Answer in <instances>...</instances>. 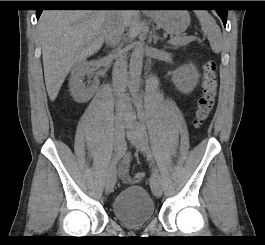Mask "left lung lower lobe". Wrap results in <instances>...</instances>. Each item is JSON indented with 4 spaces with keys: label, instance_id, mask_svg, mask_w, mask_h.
I'll list each match as a JSON object with an SVG mask.
<instances>
[{
    "label": "left lung lower lobe",
    "instance_id": "1",
    "mask_svg": "<svg viewBox=\"0 0 265 245\" xmlns=\"http://www.w3.org/2000/svg\"><path fill=\"white\" fill-rule=\"evenodd\" d=\"M162 5H170V6H177L179 5V1H160L159 2ZM216 12L220 16V18L223 21V24L226 26L227 22V9H217Z\"/></svg>",
    "mask_w": 265,
    "mask_h": 245
}]
</instances>
